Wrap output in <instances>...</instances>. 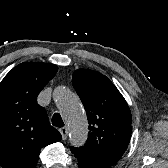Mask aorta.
I'll return each instance as SVG.
<instances>
[{"instance_id":"762f6f07","label":"aorta","mask_w":168,"mask_h":168,"mask_svg":"<svg viewBox=\"0 0 168 168\" xmlns=\"http://www.w3.org/2000/svg\"><path fill=\"white\" fill-rule=\"evenodd\" d=\"M53 98L69 127L71 144L75 147L84 145L88 123L79 97L68 88L58 86L53 91Z\"/></svg>"}]
</instances>
